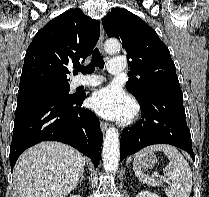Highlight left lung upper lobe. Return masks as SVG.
<instances>
[{"label": "left lung upper lobe", "instance_id": "1", "mask_svg": "<svg viewBox=\"0 0 209 197\" xmlns=\"http://www.w3.org/2000/svg\"><path fill=\"white\" fill-rule=\"evenodd\" d=\"M102 24L108 37L123 43L131 69L126 88L137 100L158 93H182L170 51L154 29L121 8L108 13Z\"/></svg>", "mask_w": 209, "mask_h": 197}]
</instances>
